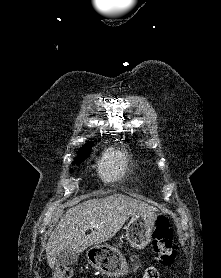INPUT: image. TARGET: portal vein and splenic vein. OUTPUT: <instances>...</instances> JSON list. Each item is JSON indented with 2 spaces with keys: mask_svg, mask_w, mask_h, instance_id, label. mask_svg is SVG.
<instances>
[{
  "mask_svg": "<svg viewBox=\"0 0 221 278\" xmlns=\"http://www.w3.org/2000/svg\"><path fill=\"white\" fill-rule=\"evenodd\" d=\"M92 227H94V226H93V225H90V226H89V228H92Z\"/></svg>",
  "mask_w": 221,
  "mask_h": 278,
  "instance_id": "obj_1",
  "label": "portal vein and splenic vein"
}]
</instances>
